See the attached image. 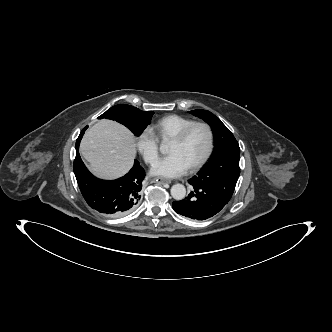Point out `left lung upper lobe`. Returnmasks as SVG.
<instances>
[{
    "label": "left lung upper lobe",
    "mask_w": 332,
    "mask_h": 332,
    "mask_svg": "<svg viewBox=\"0 0 332 332\" xmlns=\"http://www.w3.org/2000/svg\"><path fill=\"white\" fill-rule=\"evenodd\" d=\"M193 115L207 122L214 134V153L210 161L198 172L208 188L230 200L240 174V148L230 130L213 113L192 110Z\"/></svg>",
    "instance_id": "1"
}]
</instances>
